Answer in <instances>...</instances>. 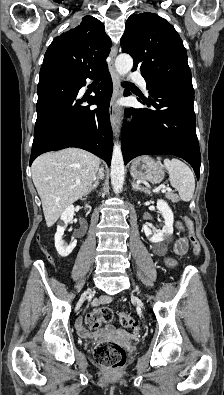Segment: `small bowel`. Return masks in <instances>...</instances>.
<instances>
[{"mask_svg": "<svg viewBox=\"0 0 224 395\" xmlns=\"http://www.w3.org/2000/svg\"><path fill=\"white\" fill-rule=\"evenodd\" d=\"M188 247V243L185 237H179L174 243V252L177 255H182L186 252ZM166 265L169 267H174L176 265V261L173 259H167ZM112 298L110 296H102L99 299V302H107L110 301ZM76 328L78 333L83 337H90L91 334L84 328L82 318H78L76 321Z\"/></svg>", "mask_w": 224, "mask_h": 395, "instance_id": "small-bowel-1", "label": "small bowel"}]
</instances>
